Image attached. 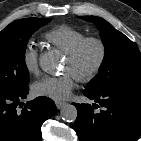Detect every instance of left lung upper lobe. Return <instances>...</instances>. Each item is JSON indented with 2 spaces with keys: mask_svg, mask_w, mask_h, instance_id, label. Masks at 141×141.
Instances as JSON below:
<instances>
[{
  "mask_svg": "<svg viewBox=\"0 0 141 141\" xmlns=\"http://www.w3.org/2000/svg\"><path fill=\"white\" fill-rule=\"evenodd\" d=\"M79 18L97 26L105 47L100 74L88 84L86 90L99 93L112 87L141 88V53L137 46L100 17Z\"/></svg>",
  "mask_w": 141,
  "mask_h": 141,
  "instance_id": "1",
  "label": "left lung upper lobe"
}]
</instances>
